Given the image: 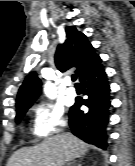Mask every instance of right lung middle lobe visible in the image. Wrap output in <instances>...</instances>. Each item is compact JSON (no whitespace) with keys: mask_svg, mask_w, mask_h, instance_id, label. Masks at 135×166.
<instances>
[{"mask_svg":"<svg viewBox=\"0 0 135 166\" xmlns=\"http://www.w3.org/2000/svg\"><path fill=\"white\" fill-rule=\"evenodd\" d=\"M31 107L30 106H25L17 109V115H16V121L19 122V120L24 116V114L27 112V110Z\"/></svg>","mask_w":135,"mask_h":166,"instance_id":"dd1d6c3e","label":"right lung middle lobe"}]
</instances>
